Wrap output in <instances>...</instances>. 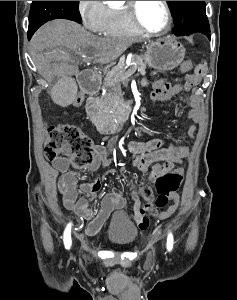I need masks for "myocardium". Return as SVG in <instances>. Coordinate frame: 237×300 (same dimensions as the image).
<instances>
[{
  "mask_svg": "<svg viewBox=\"0 0 237 300\" xmlns=\"http://www.w3.org/2000/svg\"><path fill=\"white\" fill-rule=\"evenodd\" d=\"M164 5V9L166 12V23L162 30L160 31H152L146 28L140 21L139 18V5L140 1H127L125 4L127 13L132 24L142 33L153 35V36H163L168 33L172 25V12L169 1H162Z\"/></svg>",
  "mask_w": 237,
  "mask_h": 300,
  "instance_id": "myocardium-1",
  "label": "myocardium"
}]
</instances>
